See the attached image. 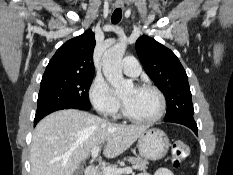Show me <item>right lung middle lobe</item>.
Returning <instances> with one entry per match:
<instances>
[{
  "label": "right lung middle lobe",
  "mask_w": 233,
  "mask_h": 175,
  "mask_svg": "<svg viewBox=\"0 0 233 175\" xmlns=\"http://www.w3.org/2000/svg\"><path fill=\"white\" fill-rule=\"evenodd\" d=\"M93 77L91 74L42 78L36 114L62 107L89 110L88 91Z\"/></svg>",
  "instance_id": "1"
}]
</instances>
